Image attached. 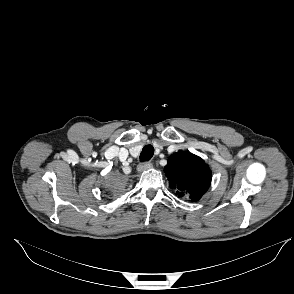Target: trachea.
I'll use <instances>...</instances> for the list:
<instances>
[{
  "label": "trachea",
  "mask_w": 294,
  "mask_h": 294,
  "mask_svg": "<svg viewBox=\"0 0 294 294\" xmlns=\"http://www.w3.org/2000/svg\"><path fill=\"white\" fill-rule=\"evenodd\" d=\"M153 154H154V147L152 145L144 146L140 154V161L143 162V161L150 160Z\"/></svg>",
  "instance_id": "3493384b"
}]
</instances>
